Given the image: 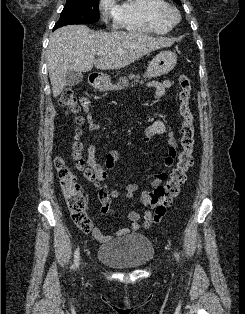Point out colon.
<instances>
[{
    "instance_id": "obj_1",
    "label": "colon",
    "mask_w": 245,
    "mask_h": 314,
    "mask_svg": "<svg viewBox=\"0 0 245 314\" xmlns=\"http://www.w3.org/2000/svg\"><path fill=\"white\" fill-rule=\"evenodd\" d=\"M178 81L180 86L179 113L183 119L180 129L182 151L166 182L157 186L152 192H145L141 195L143 202L158 214L165 213L172 200L179 194L180 188L186 180L187 171L193 164L194 125L189 107L191 80L188 75L181 74ZM81 99H77L72 89H65L59 98V105L66 108L68 113L73 116L76 125L82 123V117L79 116L82 109ZM79 134L80 129L77 127L74 130V141L71 143L69 156L71 163L65 158L58 157L55 160V168L73 223L81 231L90 232L92 221L86 212L87 202L78 183L76 172H82L84 178L89 182H96V174L86 168L82 160L83 146L78 140ZM96 188L105 199L112 201L114 194L107 187L97 183Z\"/></svg>"
}]
</instances>
